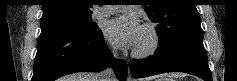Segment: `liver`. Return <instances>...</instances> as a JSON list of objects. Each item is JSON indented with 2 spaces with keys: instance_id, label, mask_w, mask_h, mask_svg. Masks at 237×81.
Listing matches in <instances>:
<instances>
[{
  "instance_id": "6515ba94",
  "label": "liver",
  "mask_w": 237,
  "mask_h": 81,
  "mask_svg": "<svg viewBox=\"0 0 237 81\" xmlns=\"http://www.w3.org/2000/svg\"><path fill=\"white\" fill-rule=\"evenodd\" d=\"M61 81H101L100 73H74L61 78Z\"/></svg>"
}]
</instances>
